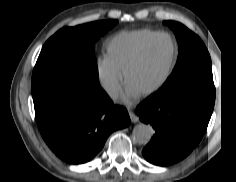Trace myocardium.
<instances>
[{"label":"myocardium","instance_id":"1","mask_svg":"<svg viewBox=\"0 0 236 182\" xmlns=\"http://www.w3.org/2000/svg\"><path fill=\"white\" fill-rule=\"evenodd\" d=\"M171 44V49H172V53H171V57H170V62H169V65H168V68H167V71H166V74L164 75V77L162 78V80L157 83L156 85L152 86V87H149L148 89H146V91H150L152 89H154L155 87H157L160 83H162L166 77L169 75L170 73V70H171V62H172V56H173V51H174V48H173V44L170 42ZM145 53V52H144ZM143 57V54L142 56H140L138 59H136L134 62L128 64V66L126 67L125 69V74H126V78L129 82H131V73L134 69V67L140 62L141 58Z\"/></svg>","mask_w":236,"mask_h":182}]
</instances>
